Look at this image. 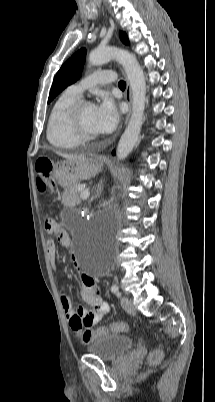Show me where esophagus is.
<instances>
[{"label": "esophagus", "mask_w": 215, "mask_h": 402, "mask_svg": "<svg viewBox=\"0 0 215 402\" xmlns=\"http://www.w3.org/2000/svg\"><path fill=\"white\" fill-rule=\"evenodd\" d=\"M121 71H122L123 76L127 80V76H126L125 71L123 69H121ZM125 99H126L128 105H129V110H128L126 120H125V123H127L128 119H129V116H130V113H131V106H132V91H131V87H130L128 81H127V87H126V91H125Z\"/></svg>", "instance_id": "obj_1"}]
</instances>
